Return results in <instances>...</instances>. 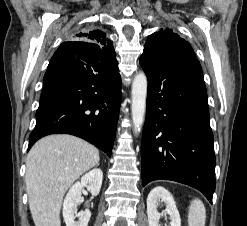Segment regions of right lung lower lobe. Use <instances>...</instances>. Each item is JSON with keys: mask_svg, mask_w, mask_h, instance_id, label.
Masks as SVG:
<instances>
[{"mask_svg": "<svg viewBox=\"0 0 247 226\" xmlns=\"http://www.w3.org/2000/svg\"><path fill=\"white\" fill-rule=\"evenodd\" d=\"M121 104V77L113 46L62 43L44 76L29 147L43 136L66 133L92 143L109 157Z\"/></svg>", "mask_w": 247, "mask_h": 226, "instance_id": "right-lung-lower-lobe-1", "label": "right lung lower lobe"}]
</instances>
